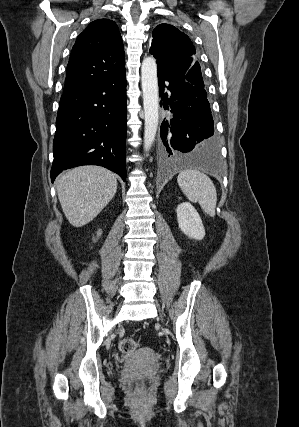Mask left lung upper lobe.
<instances>
[{
	"mask_svg": "<svg viewBox=\"0 0 299 427\" xmlns=\"http://www.w3.org/2000/svg\"><path fill=\"white\" fill-rule=\"evenodd\" d=\"M150 53L156 59L175 60L191 57L192 61L186 72V79L197 87L204 88L199 62L194 59L196 49L189 37L170 24H160L153 30Z\"/></svg>",
	"mask_w": 299,
	"mask_h": 427,
	"instance_id": "1",
	"label": "left lung upper lobe"
}]
</instances>
